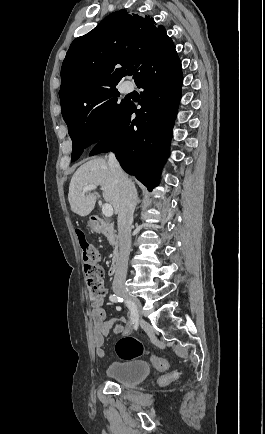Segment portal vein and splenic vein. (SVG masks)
Returning a JSON list of instances; mask_svg holds the SVG:
<instances>
[{
	"label": "portal vein and splenic vein",
	"instance_id": "1",
	"mask_svg": "<svg viewBox=\"0 0 265 434\" xmlns=\"http://www.w3.org/2000/svg\"><path fill=\"white\" fill-rule=\"evenodd\" d=\"M91 190H96V186H85V188H83V192H91ZM102 212L104 216L111 218V216H113V208L111 204H104V206H102Z\"/></svg>",
	"mask_w": 265,
	"mask_h": 434
}]
</instances>
